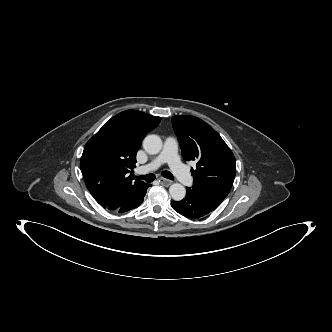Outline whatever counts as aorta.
Masks as SVG:
<instances>
[{
    "label": "aorta",
    "mask_w": 332,
    "mask_h": 332,
    "mask_svg": "<svg viewBox=\"0 0 332 332\" xmlns=\"http://www.w3.org/2000/svg\"><path fill=\"white\" fill-rule=\"evenodd\" d=\"M143 148L148 154H158L162 149V140L158 135H147L143 140ZM173 200L180 201L186 195V189L179 183H174L169 188Z\"/></svg>",
    "instance_id": "obj_1"
}]
</instances>
